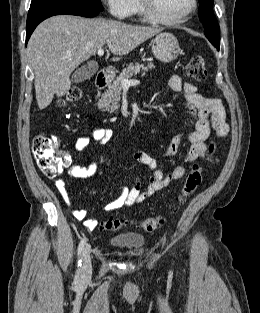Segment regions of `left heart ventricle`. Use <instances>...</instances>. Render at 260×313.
Listing matches in <instances>:
<instances>
[{
  "label": "left heart ventricle",
  "mask_w": 260,
  "mask_h": 313,
  "mask_svg": "<svg viewBox=\"0 0 260 313\" xmlns=\"http://www.w3.org/2000/svg\"><path fill=\"white\" fill-rule=\"evenodd\" d=\"M157 13L164 18H174L190 7L191 0H154Z\"/></svg>",
  "instance_id": "obj_1"
}]
</instances>
